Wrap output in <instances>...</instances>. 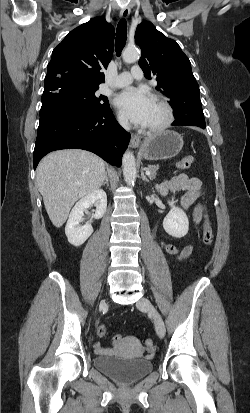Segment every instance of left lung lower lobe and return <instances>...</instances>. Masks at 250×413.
Returning <instances> with one entry per match:
<instances>
[{
  "label": "left lung lower lobe",
  "instance_id": "obj_1",
  "mask_svg": "<svg viewBox=\"0 0 250 413\" xmlns=\"http://www.w3.org/2000/svg\"><path fill=\"white\" fill-rule=\"evenodd\" d=\"M175 120L172 125L206 127L200 98L178 103L173 107Z\"/></svg>",
  "mask_w": 250,
  "mask_h": 413
}]
</instances>
